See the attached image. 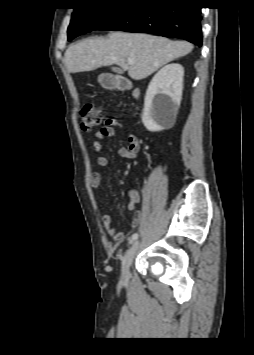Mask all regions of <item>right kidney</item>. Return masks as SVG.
<instances>
[{
	"instance_id": "1",
	"label": "right kidney",
	"mask_w": 254,
	"mask_h": 355,
	"mask_svg": "<svg viewBox=\"0 0 254 355\" xmlns=\"http://www.w3.org/2000/svg\"><path fill=\"white\" fill-rule=\"evenodd\" d=\"M184 68L172 63L161 68L146 91L142 122L150 132L170 128L182 97Z\"/></svg>"
}]
</instances>
